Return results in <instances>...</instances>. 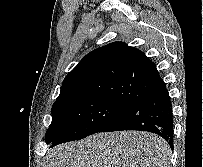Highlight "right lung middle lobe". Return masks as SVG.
Returning <instances> with one entry per match:
<instances>
[{
    "label": "right lung middle lobe",
    "mask_w": 203,
    "mask_h": 167,
    "mask_svg": "<svg viewBox=\"0 0 203 167\" xmlns=\"http://www.w3.org/2000/svg\"><path fill=\"white\" fill-rule=\"evenodd\" d=\"M128 106L114 99L87 97L52 107L46 143L79 140L97 133Z\"/></svg>",
    "instance_id": "obj_1"
}]
</instances>
